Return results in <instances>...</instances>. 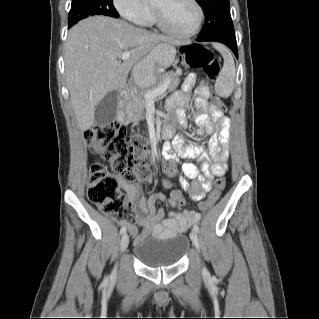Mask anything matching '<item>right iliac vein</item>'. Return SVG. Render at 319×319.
Instances as JSON below:
<instances>
[{
  "label": "right iliac vein",
  "mask_w": 319,
  "mask_h": 319,
  "mask_svg": "<svg viewBox=\"0 0 319 319\" xmlns=\"http://www.w3.org/2000/svg\"><path fill=\"white\" fill-rule=\"evenodd\" d=\"M128 244H129V236H128V234L125 233L122 236L121 241H120V247H119L120 253H123L126 251ZM116 273H117V269L115 267L112 274L115 275Z\"/></svg>",
  "instance_id": "63e3f726"
}]
</instances>
